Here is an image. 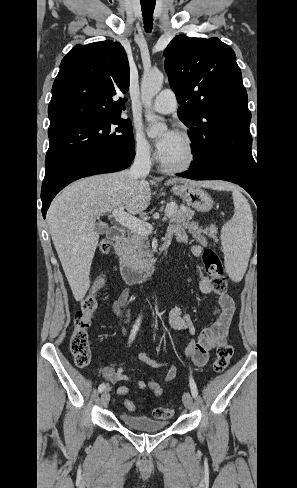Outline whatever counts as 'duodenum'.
<instances>
[{
	"instance_id": "duodenum-1",
	"label": "duodenum",
	"mask_w": 297,
	"mask_h": 488,
	"mask_svg": "<svg viewBox=\"0 0 297 488\" xmlns=\"http://www.w3.org/2000/svg\"><path fill=\"white\" fill-rule=\"evenodd\" d=\"M108 237L116 248V254L119 257V269L123 279L128 284L140 283L154 272L157 259H151L142 265L136 266L123 254L125 232L122 228L118 226L111 227ZM166 248L167 246H163V250Z\"/></svg>"
}]
</instances>
